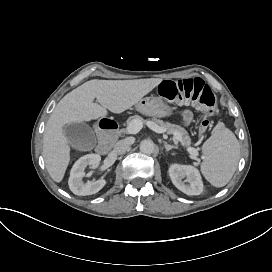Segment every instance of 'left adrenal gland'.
Here are the masks:
<instances>
[{"label": "left adrenal gland", "instance_id": "obj_1", "mask_svg": "<svg viewBox=\"0 0 272 272\" xmlns=\"http://www.w3.org/2000/svg\"><path fill=\"white\" fill-rule=\"evenodd\" d=\"M164 146H165L166 151H169V150H171L173 148H175V149L178 148V146L169 145L167 142H164Z\"/></svg>", "mask_w": 272, "mask_h": 272}]
</instances>
